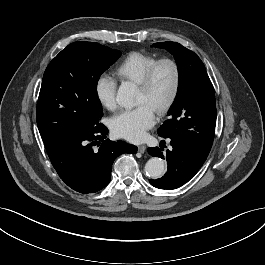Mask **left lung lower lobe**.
Masks as SVG:
<instances>
[{"instance_id": "obj_1", "label": "left lung lower lobe", "mask_w": 265, "mask_h": 265, "mask_svg": "<svg viewBox=\"0 0 265 265\" xmlns=\"http://www.w3.org/2000/svg\"><path fill=\"white\" fill-rule=\"evenodd\" d=\"M172 150L166 151L168 170L166 174L149 182L159 189H176L189 181L202 167L206 158L200 156L196 150L187 143L171 139ZM162 148H148L152 156L164 158Z\"/></svg>"}]
</instances>
